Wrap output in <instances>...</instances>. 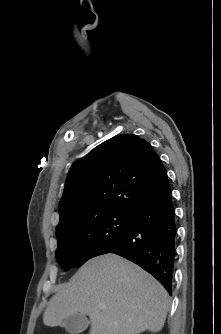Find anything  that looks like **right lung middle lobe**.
Segmentation results:
<instances>
[{
    "mask_svg": "<svg viewBox=\"0 0 221 334\" xmlns=\"http://www.w3.org/2000/svg\"><path fill=\"white\" fill-rule=\"evenodd\" d=\"M131 213L110 212L77 223L57 237L55 252L61 266H81L113 248L129 225Z\"/></svg>",
    "mask_w": 221,
    "mask_h": 334,
    "instance_id": "1",
    "label": "right lung middle lobe"
}]
</instances>
